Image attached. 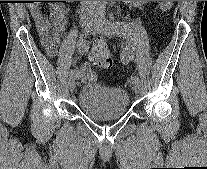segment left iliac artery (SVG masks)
Returning a JSON list of instances; mask_svg holds the SVG:
<instances>
[{
    "mask_svg": "<svg viewBox=\"0 0 207 169\" xmlns=\"http://www.w3.org/2000/svg\"><path fill=\"white\" fill-rule=\"evenodd\" d=\"M101 17L104 19V22L109 26L111 30L114 31L117 35H123L127 32V27L129 24H126L124 22L114 21V20H106L104 10H101ZM130 46H123V49H121L120 58H122V64H129V61H131V55H130ZM131 83L139 82L138 76H131L130 78Z\"/></svg>",
    "mask_w": 207,
    "mask_h": 169,
    "instance_id": "1",
    "label": "left iliac artery"
}]
</instances>
